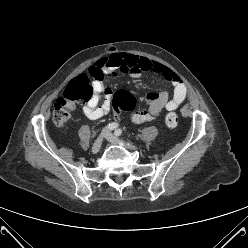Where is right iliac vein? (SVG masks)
Returning a JSON list of instances; mask_svg holds the SVG:
<instances>
[{"label": "right iliac vein", "instance_id": "1", "mask_svg": "<svg viewBox=\"0 0 248 248\" xmlns=\"http://www.w3.org/2000/svg\"><path fill=\"white\" fill-rule=\"evenodd\" d=\"M106 134V132H103L94 142L92 146V153L97 154L101 148L102 141H103V136Z\"/></svg>", "mask_w": 248, "mask_h": 248}]
</instances>
